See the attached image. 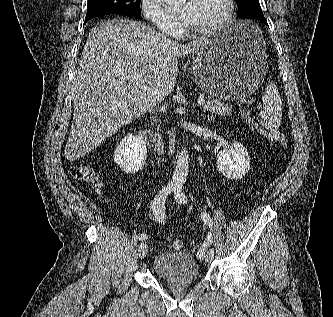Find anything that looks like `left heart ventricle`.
Instances as JSON below:
<instances>
[{
	"label": "left heart ventricle",
	"instance_id": "b2bd125f",
	"mask_svg": "<svg viewBox=\"0 0 333 317\" xmlns=\"http://www.w3.org/2000/svg\"><path fill=\"white\" fill-rule=\"evenodd\" d=\"M223 0H193L188 24L202 28L214 23L223 13Z\"/></svg>",
	"mask_w": 333,
	"mask_h": 317
}]
</instances>
